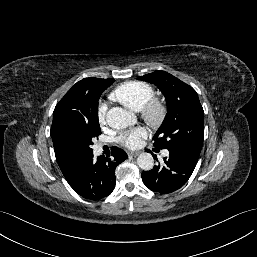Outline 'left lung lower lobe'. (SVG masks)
<instances>
[{
  "label": "left lung lower lobe",
  "mask_w": 257,
  "mask_h": 257,
  "mask_svg": "<svg viewBox=\"0 0 257 257\" xmlns=\"http://www.w3.org/2000/svg\"><path fill=\"white\" fill-rule=\"evenodd\" d=\"M168 151L169 156L164 158V163L141 174L144 184L161 194L172 193L181 188L193 173L199 158L179 149Z\"/></svg>",
  "instance_id": "0a47b994"
}]
</instances>
